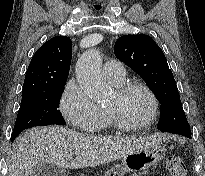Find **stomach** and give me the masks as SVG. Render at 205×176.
Listing matches in <instances>:
<instances>
[{"label": "stomach", "instance_id": "0dacf381", "mask_svg": "<svg viewBox=\"0 0 205 176\" xmlns=\"http://www.w3.org/2000/svg\"><path fill=\"white\" fill-rule=\"evenodd\" d=\"M166 155V149L163 145H157L152 148L136 151L125 156L121 165L116 166L107 173V176H123L126 172L144 171L155 163L161 161Z\"/></svg>", "mask_w": 205, "mask_h": 176}]
</instances>
